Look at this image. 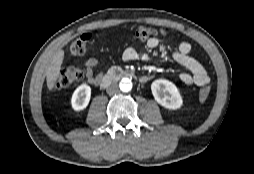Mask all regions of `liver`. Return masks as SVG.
<instances>
[{"instance_id":"obj_1","label":"liver","mask_w":254,"mask_h":174,"mask_svg":"<svg viewBox=\"0 0 254 174\" xmlns=\"http://www.w3.org/2000/svg\"><path fill=\"white\" fill-rule=\"evenodd\" d=\"M64 59V51L59 50L53 57V60L46 74V81L49 90H52L59 77L61 65Z\"/></svg>"}]
</instances>
